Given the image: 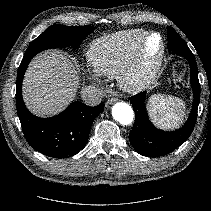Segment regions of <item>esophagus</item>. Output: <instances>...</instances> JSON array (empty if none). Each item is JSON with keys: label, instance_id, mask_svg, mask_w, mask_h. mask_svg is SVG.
<instances>
[{"label": "esophagus", "instance_id": "esophagus-1", "mask_svg": "<svg viewBox=\"0 0 211 211\" xmlns=\"http://www.w3.org/2000/svg\"><path fill=\"white\" fill-rule=\"evenodd\" d=\"M116 101H118V98H116V97L109 98L107 100V102H106V106H109V105L113 104Z\"/></svg>", "mask_w": 211, "mask_h": 211}]
</instances>
